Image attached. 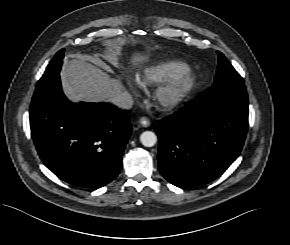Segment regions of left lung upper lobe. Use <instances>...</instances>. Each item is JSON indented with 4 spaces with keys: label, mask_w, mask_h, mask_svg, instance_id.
<instances>
[{
    "label": "left lung upper lobe",
    "mask_w": 290,
    "mask_h": 245,
    "mask_svg": "<svg viewBox=\"0 0 290 245\" xmlns=\"http://www.w3.org/2000/svg\"><path fill=\"white\" fill-rule=\"evenodd\" d=\"M218 53V70L216 72L214 84L220 85L225 83H244L242 77L239 73L232 67V65L228 62L225 56L221 52Z\"/></svg>",
    "instance_id": "obj_1"
}]
</instances>
